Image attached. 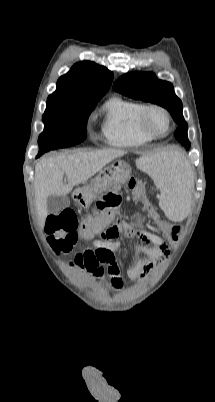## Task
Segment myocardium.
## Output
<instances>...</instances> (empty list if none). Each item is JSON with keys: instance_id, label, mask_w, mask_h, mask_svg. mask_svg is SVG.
Listing matches in <instances>:
<instances>
[{"instance_id": "f54148a6", "label": "myocardium", "mask_w": 215, "mask_h": 402, "mask_svg": "<svg viewBox=\"0 0 215 402\" xmlns=\"http://www.w3.org/2000/svg\"><path fill=\"white\" fill-rule=\"evenodd\" d=\"M152 111H158V112L162 113L164 115V117L166 118L167 128L164 132L158 133V132L153 131L149 127L147 118H148V114ZM138 124H139L140 130L145 135L154 139V138L164 137L170 132L172 120H171V115H170L169 111L165 107H163L159 104H146L142 107V109L139 113Z\"/></svg>"}]
</instances>
